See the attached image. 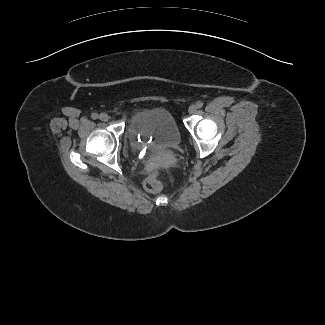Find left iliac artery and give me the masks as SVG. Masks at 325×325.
<instances>
[{"label": "left iliac artery", "instance_id": "left-iliac-artery-1", "mask_svg": "<svg viewBox=\"0 0 325 325\" xmlns=\"http://www.w3.org/2000/svg\"><path fill=\"white\" fill-rule=\"evenodd\" d=\"M196 106H197V108H202V106H203V102H202V101H198V102L196 103Z\"/></svg>", "mask_w": 325, "mask_h": 325}]
</instances>
